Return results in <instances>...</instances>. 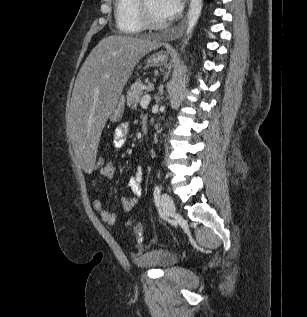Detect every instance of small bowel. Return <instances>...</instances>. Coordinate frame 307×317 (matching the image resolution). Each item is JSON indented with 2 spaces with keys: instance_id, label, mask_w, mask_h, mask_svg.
I'll return each mask as SVG.
<instances>
[{
  "instance_id": "small-bowel-1",
  "label": "small bowel",
  "mask_w": 307,
  "mask_h": 317,
  "mask_svg": "<svg viewBox=\"0 0 307 317\" xmlns=\"http://www.w3.org/2000/svg\"><path fill=\"white\" fill-rule=\"evenodd\" d=\"M129 126L127 122H123L120 126H118L113 134V144L117 149L122 148L128 139ZM99 175L101 177L112 179L115 175V164L113 162H108L106 165L100 170ZM143 168L138 167L135 170L134 175L128 181V187L132 193V196H122L120 198L121 207L129 212L131 211L138 203V199L142 196V181H143ZM98 185V178L95 177L91 181L92 189H96ZM93 208L96 212L100 214L102 221L107 224H115L117 221V216L114 213L108 211L102 201L99 198H95L93 201Z\"/></svg>"
}]
</instances>
